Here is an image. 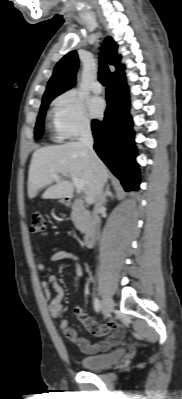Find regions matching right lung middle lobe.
<instances>
[{
  "label": "right lung middle lobe",
  "mask_w": 182,
  "mask_h": 399,
  "mask_svg": "<svg viewBox=\"0 0 182 399\" xmlns=\"http://www.w3.org/2000/svg\"><path fill=\"white\" fill-rule=\"evenodd\" d=\"M54 98H48V99H43L42 101V105L40 107V112L37 118V123H36V127H35V139H38L42 136L43 134V121H44V117H45V112L46 109L49 105V103L53 100Z\"/></svg>",
  "instance_id": "1"
}]
</instances>
